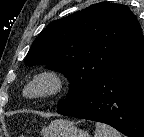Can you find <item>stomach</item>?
I'll list each match as a JSON object with an SVG mask.
<instances>
[{
	"label": "stomach",
	"instance_id": "stomach-1",
	"mask_svg": "<svg viewBox=\"0 0 144 137\" xmlns=\"http://www.w3.org/2000/svg\"><path fill=\"white\" fill-rule=\"evenodd\" d=\"M43 137H90L89 133L80 130L70 121L56 119L41 130Z\"/></svg>",
	"mask_w": 144,
	"mask_h": 137
}]
</instances>
